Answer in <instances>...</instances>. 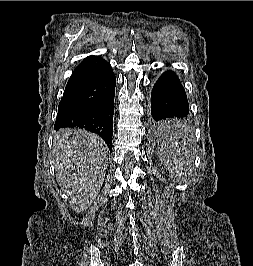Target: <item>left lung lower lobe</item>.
<instances>
[{"mask_svg": "<svg viewBox=\"0 0 253 266\" xmlns=\"http://www.w3.org/2000/svg\"><path fill=\"white\" fill-rule=\"evenodd\" d=\"M188 114V100L177 75L172 71L165 72L154 84L151 93L152 130L161 136L180 132L183 130L182 120Z\"/></svg>", "mask_w": 253, "mask_h": 266, "instance_id": "left-lung-lower-lobe-1", "label": "left lung lower lobe"}]
</instances>
